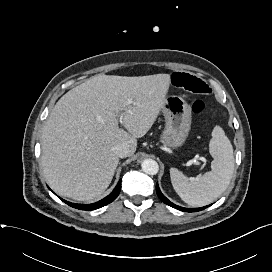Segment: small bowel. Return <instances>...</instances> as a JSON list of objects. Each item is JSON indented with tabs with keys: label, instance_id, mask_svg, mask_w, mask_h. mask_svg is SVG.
Wrapping results in <instances>:
<instances>
[{
	"label": "small bowel",
	"instance_id": "1",
	"mask_svg": "<svg viewBox=\"0 0 272 272\" xmlns=\"http://www.w3.org/2000/svg\"><path fill=\"white\" fill-rule=\"evenodd\" d=\"M169 80L172 86L189 94L204 96L211 93L210 86L204 80L189 73L174 72Z\"/></svg>",
	"mask_w": 272,
	"mask_h": 272
}]
</instances>
